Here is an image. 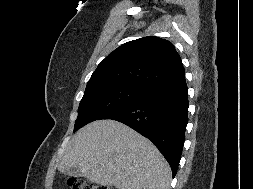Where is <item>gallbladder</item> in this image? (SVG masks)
<instances>
[{"mask_svg": "<svg viewBox=\"0 0 253 189\" xmlns=\"http://www.w3.org/2000/svg\"><path fill=\"white\" fill-rule=\"evenodd\" d=\"M66 174L71 176L78 175V169L69 170L66 172Z\"/></svg>", "mask_w": 253, "mask_h": 189, "instance_id": "bac80fb5", "label": "gallbladder"}]
</instances>
